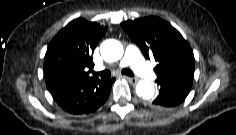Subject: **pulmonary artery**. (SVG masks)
Instances as JSON below:
<instances>
[{
    "label": "pulmonary artery",
    "mask_w": 236,
    "mask_h": 135,
    "mask_svg": "<svg viewBox=\"0 0 236 135\" xmlns=\"http://www.w3.org/2000/svg\"><path fill=\"white\" fill-rule=\"evenodd\" d=\"M119 67L130 65L133 70L146 79L156 77L154 71L146 65L137 46L129 45L126 49L125 57L119 62Z\"/></svg>",
    "instance_id": "obj_1"
}]
</instances>
